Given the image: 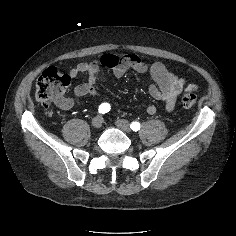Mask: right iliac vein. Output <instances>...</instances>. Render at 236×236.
Masks as SVG:
<instances>
[{
  "label": "right iliac vein",
  "mask_w": 236,
  "mask_h": 236,
  "mask_svg": "<svg viewBox=\"0 0 236 236\" xmlns=\"http://www.w3.org/2000/svg\"><path fill=\"white\" fill-rule=\"evenodd\" d=\"M103 124V118L101 116H96L92 119V126L94 128H100Z\"/></svg>",
  "instance_id": "right-iliac-vein-1"
}]
</instances>
